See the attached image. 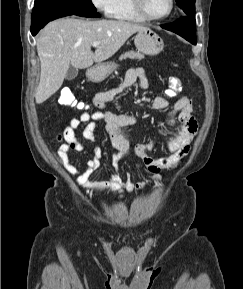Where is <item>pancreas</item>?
I'll return each mask as SVG.
<instances>
[{
	"label": "pancreas",
	"instance_id": "pancreas-1",
	"mask_svg": "<svg viewBox=\"0 0 243 289\" xmlns=\"http://www.w3.org/2000/svg\"><path fill=\"white\" fill-rule=\"evenodd\" d=\"M143 59L144 58V55L141 54L139 51H128L124 54H122L120 57H119V60H123V59Z\"/></svg>",
	"mask_w": 243,
	"mask_h": 289
}]
</instances>
